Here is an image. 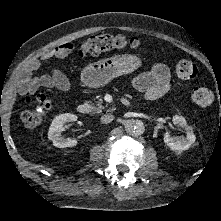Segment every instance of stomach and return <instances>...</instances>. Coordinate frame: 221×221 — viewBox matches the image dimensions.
<instances>
[{
    "label": "stomach",
    "instance_id": "obj_1",
    "mask_svg": "<svg viewBox=\"0 0 221 221\" xmlns=\"http://www.w3.org/2000/svg\"><path fill=\"white\" fill-rule=\"evenodd\" d=\"M141 64V59L136 55H114L87 65L81 72V81L88 87L98 88L113 78L132 73Z\"/></svg>",
    "mask_w": 221,
    "mask_h": 221
}]
</instances>
